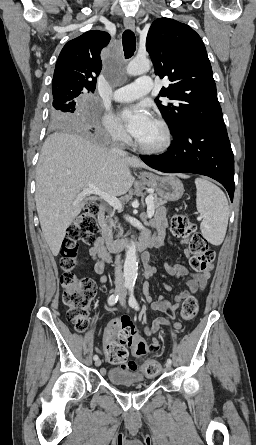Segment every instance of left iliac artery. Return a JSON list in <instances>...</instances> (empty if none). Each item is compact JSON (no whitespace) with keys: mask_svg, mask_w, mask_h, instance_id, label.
<instances>
[{"mask_svg":"<svg viewBox=\"0 0 256 445\" xmlns=\"http://www.w3.org/2000/svg\"><path fill=\"white\" fill-rule=\"evenodd\" d=\"M128 302L132 308L139 310L138 302L134 296V285L129 286V301ZM167 363L171 364L172 360L170 358H168Z\"/></svg>","mask_w":256,"mask_h":445,"instance_id":"44dca946","label":"left iliac artery"}]
</instances>
